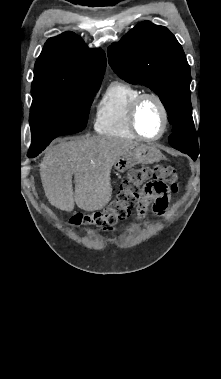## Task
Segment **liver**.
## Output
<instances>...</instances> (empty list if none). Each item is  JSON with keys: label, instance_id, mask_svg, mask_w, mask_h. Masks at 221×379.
Masks as SVG:
<instances>
[{"label": "liver", "instance_id": "obj_1", "mask_svg": "<svg viewBox=\"0 0 221 379\" xmlns=\"http://www.w3.org/2000/svg\"><path fill=\"white\" fill-rule=\"evenodd\" d=\"M135 146L137 143L130 140L93 136L48 148L40 163V176L48 201L67 212H71L75 204L84 211L102 209L112 197V166Z\"/></svg>", "mask_w": 221, "mask_h": 379}]
</instances>
